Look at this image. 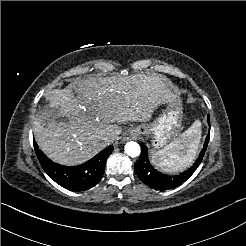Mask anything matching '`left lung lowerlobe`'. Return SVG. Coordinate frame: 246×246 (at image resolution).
Segmentation results:
<instances>
[{"label": "left lung lower lobe", "mask_w": 246, "mask_h": 246, "mask_svg": "<svg viewBox=\"0 0 246 246\" xmlns=\"http://www.w3.org/2000/svg\"><path fill=\"white\" fill-rule=\"evenodd\" d=\"M207 121L208 123H210L209 116H208ZM208 141H209V133L205 139L204 148L202 149L199 157L197 158L193 166L187 171L181 173L180 175H176V176L164 175L158 172L156 169H154L151 166L149 159H148L147 147L142 143L141 144V156L134 165L135 173L143 183H145L146 185H148L149 187L153 189L167 190V189L174 188L182 184L184 181H186L197 169L207 149Z\"/></svg>", "instance_id": "obj_1"}]
</instances>
